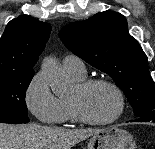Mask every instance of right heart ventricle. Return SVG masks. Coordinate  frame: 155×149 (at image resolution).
I'll list each match as a JSON object with an SVG mask.
<instances>
[{"mask_svg":"<svg viewBox=\"0 0 155 149\" xmlns=\"http://www.w3.org/2000/svg\"><path fill=\"white\" fill-rule=\"evenodd\" d=\"M71 75V74H70ZM76 81L81 82L85 79V76L83 77H78L75 75H71ZM64 104V122H70V123H74L77 121V117L76 114L73 110V107L70 103L69 100H64L63 101Z\"/></svg>","mask_w":155,"mask_h":149,"instance_id":"obj_1","label":"right heart ventricle"}]
</instances>
